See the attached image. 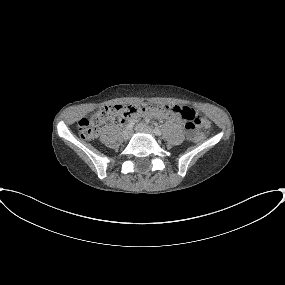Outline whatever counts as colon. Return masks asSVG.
<instances>
[{
	"label": "colon",
	"mask_w": 285,
	"mask_h": 285,
	"mask_svg": "<svg viewBox=\"0 0 285 285\" xmlns=\"http://www.w3.org/2000/svg\"><path fill=\"white\" fill-rule=\"evenodd\" d=\"M180 110L178 106H151V105H135V106H119L104 105L91 115L84 116L79 120V133L82 139L91 140L96 137L98 127L111 123L112 121H120L126 117L143 116L150 113H162L166 111L176 112ZM184 111V122L190 139L198 140L201 137L199 128H209L210 122L203 116L182 108Z\"/></svg>",
	"instance_id": "colon-1"
}]
</instances>
